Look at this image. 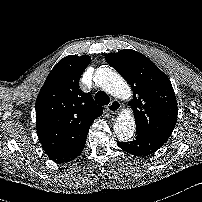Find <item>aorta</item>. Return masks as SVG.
I'll use <instances>...</instances> for the list:
<instances>
[{
  "instance_id": "1",
  "label": "aorta",
  "mask_w": 202,
  "mask_h": 202,
  "mask_svg": "<svg viewBox=\"0 0 202 202\" xmlns=\"http://www.w3.org/2000/svg\"><path fill=\"white\" fill-rule=\"evenodd\" d=\"M95 82L109 94L127 99L131 96V88L127 82L116 72L105 66H100L95 71ZM114 132L119 140H128L135 133V121L131 113L121 114L115 124Z\"/></svg>"
}]
</instances>
